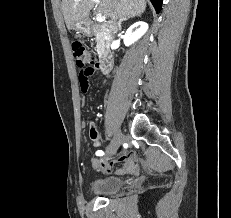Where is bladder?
Segmentation results:
<instances>
[{
    "mask_svg": "<svg viewBox=\"0 0 231 218\" xmlns=\"http://www.w3.org/2000/svg\"><path fill=\"white\" fill-rule=\"evenodd\" d=\"M123 180L110 176L94 181L92 191L96 195L107 196L118 192L123 187Z\"/></svg>",
    "mask_w": 231,
    "mask_h": 218,
    "instance_id": "obj_1",
    "label": "bladder"
}]
</instances>
